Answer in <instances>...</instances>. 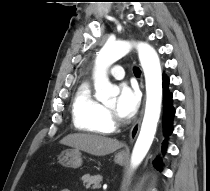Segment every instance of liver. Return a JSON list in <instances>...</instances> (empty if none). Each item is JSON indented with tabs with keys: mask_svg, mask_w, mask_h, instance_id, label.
Listing matches in <instances>:
<instances>
[{
	"mask_svg": "<svg viewBox=\"0 0 210 191\" xmlns=\"http://www.w3.org/2000/svg\"><path fill=\"white\" fill-rule=\"evenodd\" d=\"M60 144L85 151L95 156H104L113 153L124 146L122 142L116 139L83 133L69 134L60 141Z\"/></svg>",
	"mask_w": 210,
	"mask_h": 191,
	"instance_id": "obj_1",
	"label": "liver"
}]
</instances>
